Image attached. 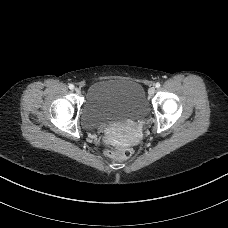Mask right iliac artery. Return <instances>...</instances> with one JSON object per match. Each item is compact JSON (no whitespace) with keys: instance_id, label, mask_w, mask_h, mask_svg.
I'll list each match as a JSON object with an SVG mask.
<instances>
[{"instance_id":"1","label":"right iliac artery","mask_w":228,"mask_h":228,"mask_svg":"<svg viewBox=\"0 0 228 228\" xmlns=\"http://www.w3.org/2000/svg\"><path fill=\"white\" fill-rule=\"evenodd\" d=\"M69 88L70 89H74V85L73 84H69Z\"/></svg>"}]
</instances>
